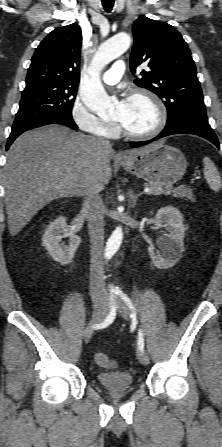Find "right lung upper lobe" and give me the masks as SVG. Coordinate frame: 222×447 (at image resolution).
Returning <instances> with one entry per match:
<instances>
[{"instance_id": "1", "label": "right lung upper lobe", "mask_w": 222, "mask_h": 447, "mask_svg": "<svg viewBox=\"0 0 222 447\" xmlns=\"http://www.w3.org/2000/svg\"><path fill=\"white\" fill-rule=\"evenodd\" d=\"M81 42V29L75 23L48 34L32 57L26 88L43 85L78 87Z\"/></svg>"}]
</instances>
